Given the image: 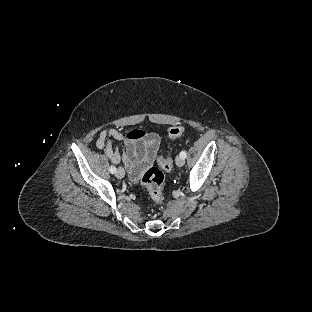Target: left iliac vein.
Listing matches in <instances>:
<instances>
[{
	"label": "left iliac vein",
	"mask_w": 312,
	"mask_h": 312,
	"mask_svg": "<svg viewBox=\"0 0 312 312\" xmlns=\"http://www.w3.org/2000/svg\"><path fill=\"white\" fill-rule=\"evenodd\" d=\"M176 164L179 167H182L185 164V160L181 156L176 157Z\"/></svg>",
	"instance_id": "4c4485c4"
}]
</instances>
